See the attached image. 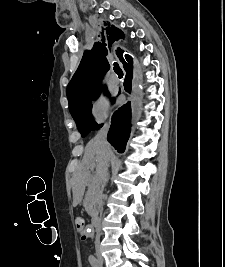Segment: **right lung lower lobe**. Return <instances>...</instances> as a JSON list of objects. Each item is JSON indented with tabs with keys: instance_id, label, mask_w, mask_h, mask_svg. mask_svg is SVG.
Instances as JSON below:
<instances>
[{
	"instance_id": "98d812e1",
	"label": "right lung lower lobe",
	"mask_w": 225,
	"mask_h": 267,
	"mask_svg": "<svg viewBox=\"0 0 225 267\" xmlns=\"http://www.w3.org/2000/svg\"><path fill=\"white\" fill-rule=\"evenodd\" d=\"M132 67L133 64L129 63L125 68L127 72L124 87L126 91L131 89L132 80ZM131 120V105L127 103L122 106L118 111H116L112 117V125L108 133V141L118 149V152H123L125 150L126 142L129 138ZM102 126V125H101Z\"/></svg>"
}]
</instances>
